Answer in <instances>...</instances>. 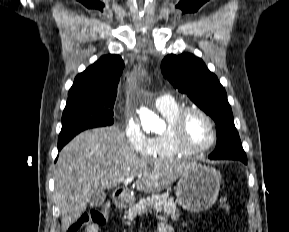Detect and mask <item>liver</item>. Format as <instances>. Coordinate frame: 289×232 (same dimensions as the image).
<instances>
[{
  "label": "liver",
  "mask_w": 289,
  "mask_h": 232,
  "mask_svg": "<svg viewBox=\"0 0 289 232\" xmlns=\"http://www.w3.org/2000/svg\"><path fill=\"white\" fill-rule=\"evenodd\" d=\"M191 164L139 157L117 126L80 133L61 150L54 171V198L61 211L63 232L86 210L95 191L117 187L137 176L138 191L160 192L188 171Z\"/></svg>",
  "instance_id": "obj_1"
}]
</instances>
